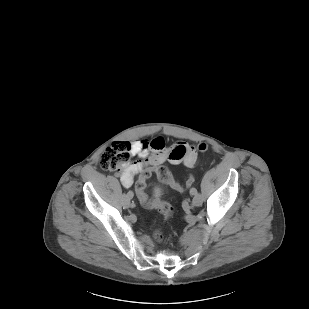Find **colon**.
I'll use <instances>...</instances> for the list:
<instances>
[{
  "label": "colon",
  "instance_id": "5ec220e1",
  "mask_svg": "<svg viewBox=\"0 0 309 309\" xmlns=\"http://www.w3.org/2000/svg\"><path fill=\"white\" fill-rule=\"evenodd\" d=\"M197 149L199 152H205L208 149V145L204 142L198 144ZM132 153V146L127 141H117L112 145L107 147L101 155L100 158V166L102 169L106 171H119L125 167L127 164L130 155ZM153 172V171H152ZM152 172L144 170L140 173V176L136 182L135 189L137 192V196L141 202V204L146 208L158 207L161 210L164 218H169L173 210L172 208L160 201V200H151L146 191L145 184L146 180L150 177ZM155 173L157 177L167 183L171 187L176 190H185L190 188L195 182V176L193 174H189L184 183H179L174 179L171 172L165 166H159L155 169ZM153 238L156 242H162L164 239L163 231L161 229H156L153 233Z\"/></svg>",
  "mask_w": 309,
  "mask_h": 309
}]
</instances>
